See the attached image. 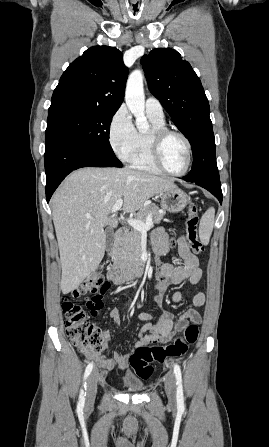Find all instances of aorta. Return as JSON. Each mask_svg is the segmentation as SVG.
Returning a JSON list of instances; mask_svg holds the SVG:
<instances>
[{
  "mask_svg": "<svg viewBox=\"0 0 269 447\" xmlns=\"http://www.w3.org/2000/svg\"><path fill=\"white\" fill-rule=\"evenodd\" d=\"M125 102L133 114L138 130H149V122L145 118V96L143 90V74L140 70L131 72L126 86Z\"/></svg>",
  "mask_w": 269,
  "mask_h": 447,
  "instance_id": "aorta-1",
  "label": "aorta"
}]
</instances>
